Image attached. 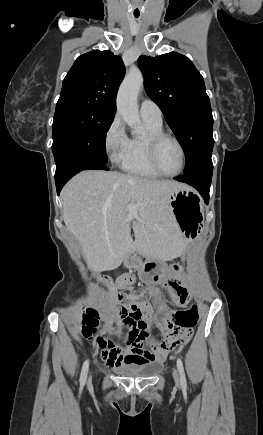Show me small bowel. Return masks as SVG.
I'll return each mask as SVG.
<instances>
[{
  "mask_svg": "<svg viewBox=\"0 0 263 435\" xmlns=\"http://www.w3.org/2000/svg\"><path fill=\"white\" fill-rule=\"evenodd\" d=\"M134 281L135 278L132 274H124L116 280L115 287L117 289H127L131 291ZM115 300L124 305L118 313L120 324L123 327L136 328L137 330L139 328H146L149 332L150 328L156 325L150 307L139 297H136L135 294H129L126 300ZM85 312L88 314L98 311L94 306L86 305ZM166 326L171 329V333H173L175 329L179 330L182 324L179 321H176L174 324L167 322ZM184 328H189V323H184ZM164 337L168 338L169 343L163 350H109L108 348H104L101 350V355L106 364L112 368L122 365H142L152 361L163 362L168 353H172V350H178L180 348V343L175 341L176 337L173 334H166Z\"/></svg>",
  "mask_w": 263,
  "mask_h": 435,
  "instance_id": "small-bowel-1",
  "label": "small bowel"
}]
</instances>
